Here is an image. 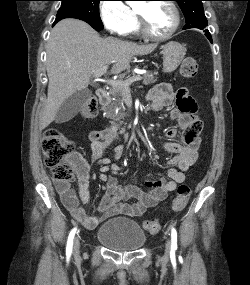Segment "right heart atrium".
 <instances>
[{"label":"right heart atrium","instance_id":"obj_1","mask_svg":"<svg viewBox=\"0 0 250 285\" xmlns=\"http://www.w3.org/2000/svg\"><path fill=\"white\" fill-rule=\"evenodd\" d=\"M100 17L106 29L119 35L129 32L135 20L133 11L122 0H104Z\"/></svg>","mask_w":250,"mask_h":285}]
</instances>
